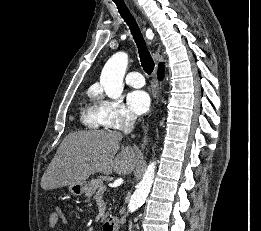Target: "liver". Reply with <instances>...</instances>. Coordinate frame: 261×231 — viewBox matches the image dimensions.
Here are the masks:
<instances>
[{"instance_id":"6515ba94","label":"liver","mask_w":261,"mask_h":231,"mask_svg":"<svg viewBox=\"0 0 261 231\" xmlns=\"http://www.w3.org/2000/svg\"><path fill=\"white\" fill-rule=\"evenodd\" d=\"M123 135L118 131H79L67 135L41 179L44 190L83 183L100 172L130 174L141 155L131 146L120 149ZM117 154V155H116Z\"/></svg>"}]
</instances>
